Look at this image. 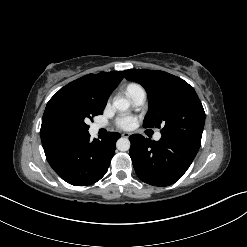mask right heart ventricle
<instances>
[{
  "mask_svg": "<svg viewBox=\"0 0 247 247\" xmlns=\"http://www.w3.org/2000/svg\"><path fill=\"white\" fill-rule=\"evenodd\" d=\"M139 88H141L140 85H138L136 83H130L126 86L125 92H126L127 96L129 97L134 91H136Z\"/></svg>",
  "mask_w": 247,
  "mask_h": 247,
  "instance_id": "right-heart-ventricle-1",
  "label": "right heart ventricle"
}]
</instances>
